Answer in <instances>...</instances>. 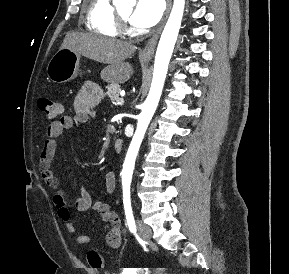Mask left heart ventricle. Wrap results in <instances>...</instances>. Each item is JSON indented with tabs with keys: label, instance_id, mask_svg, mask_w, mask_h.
Segmentation results:
<instances>
[{
	"label": "left heart ventricle",
	"instance_id": "left-heart-ventricle-1",
	"mask_svg": "<svg viewBox=\"0 0 289 274\" xmlns=\"http://www.w3.org/2000/svg\"><path fill=\"white\" fill-rule=\"evenodd\" d=\"M124 18L129 19L132 13V7H124L118 11Z\"/></svg>",
	"mask_w": 289,
	"mask_h": 274
}]
</instances>
